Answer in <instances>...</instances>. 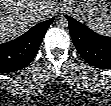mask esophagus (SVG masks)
<instances>
[{"label":"esophagus","mask_w":111,"mask_h":106,"mask_svg":"<svg viewBox=\"0 0 111 106\" xmlns=\"http://www.w3.org/2000/svg\"><path fill=\"white\" fill-rule=\"evenodd\" d=\"M67 9H69L68 7H66L65 5L63 7L60 8L61 12L66 11Z\"/></svg>","instance_id":"34e87169"}]
</instances>
